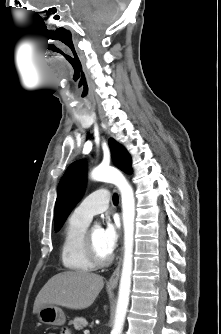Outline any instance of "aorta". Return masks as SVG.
<instances>
[{
  "label": "aorta",
  "instance_id": "1",
  "mask_svg": "<svg viewBox=\"0 0 221 334\" xmlns=\"http://www.w3.org/2000/svg\"><path fill=\"white\" fill-rule=\"evenodd\" d=\"M91 177L95 181L115 184L122 198V214L124 226V258L119 284L117 307L113 328L110 334H122L125 317L129 305L131 275L133 266V235L135 218V199L132 187L120 171L113 167L98 166L93 169Z\"/></svg>",
  "mask_w": 221,
  "mask_h": 334
}]
</instances>
